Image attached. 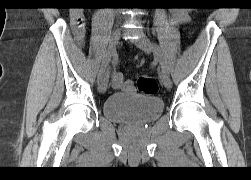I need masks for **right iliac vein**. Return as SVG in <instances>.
<instances>
[{"label":"right iliac vein","instance_id":"63e3f726","mask_svg":"<svg viewBox=\"0 0 251 180\" xmlns=\"http://www.w3.org/2000/svg\"><path fill=\"white\" fill-rule=\"evenodd\" d=\"M119 39H120V29L115 28L112 32L108 51H107V53L110 54V57L115 56L116 46L118 45ZM108 81H109V69H107L104 72L102 78L98 82L99 83V85H98L99 92L104 93L106 91L107 86H108Z\"/></svg>","mask_w":251,"mask_h":180}]
</instances>
